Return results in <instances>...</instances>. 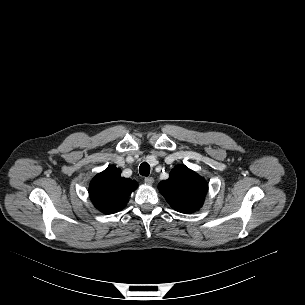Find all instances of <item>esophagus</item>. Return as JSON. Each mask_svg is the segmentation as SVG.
<instances>
[{
  "label": "esophagus",
  "instance_id": "34e87169",
  "mask_svg": "<svg viewBox=\"0 0 305 305\" xmlns=\"http://www.w3.org/2000/svg\"><path fill=\"white\" fill-rule=\"evenodd\" d=\"M145 183L148 185H152L154 183L153 177H146L145 178Z\"/></svg>",
  "mask_w": 305,
  "mask_h": 305
}]
</instances>
